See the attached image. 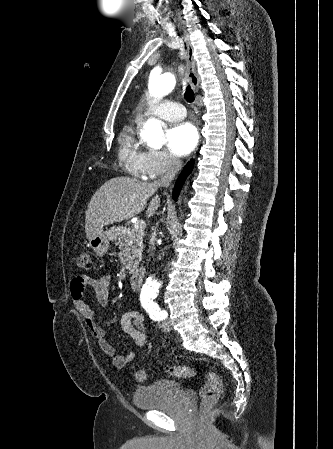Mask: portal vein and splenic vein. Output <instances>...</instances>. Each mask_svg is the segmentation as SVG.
I'll return each instance as SVG.
<instances>
[{
  "instance_id": "obj_1",
  "label": "portal vein and splenic vein",
  "mask_w": 333,
  "mask_h": 449,
  "mask_svg": "<svg viewBox=\"0 0 333 449\" xmlns=\"http://www.w3.org/2000/svg\"><path fill=\"white\" fill-rule=\"evenodd\" d=\"M145 229V223L143 221L136 222L134 224V230L143 231Z\"/></svg>"
}]
</instances>
